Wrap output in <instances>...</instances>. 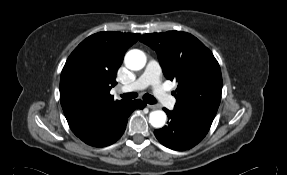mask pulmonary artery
Listing matches in <instances>:
<instances>
[{
  "label": "pulmonary artery",
  "mask_w": 287,
  "mask_h": 175,
  "mask_svg": "<svg viewBox=\"0 0 287 175\" xmlns=\"http://www.w3.org/2000/svg\"><path fill=\"white\" fill-rule=\"evenodd\" d=\"M160 66L157 61L150 60L142 75L133 83L122 86L120 91L131 92L152 86L156 98L164 105L172 106L174 99L166 92L160 83Z\"/></svg>",
  "instance_id": "e3ab8cb5"
}]
</instances>
